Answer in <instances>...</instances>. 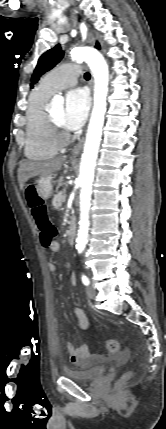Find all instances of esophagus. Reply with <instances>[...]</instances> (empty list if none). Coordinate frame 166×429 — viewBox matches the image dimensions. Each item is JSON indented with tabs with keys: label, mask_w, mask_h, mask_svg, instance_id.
Instances as JSON below:
<instances>
[{
	"label": "esophagus",
	"mask_w": 166,
	"mask_h": 429,
	"mask_svg": "<svg viewBox=\"0 0 166 429\" xmlns=\"http://www.w3.org/2000/svg\"><path fill=\"white\" fill-rule=\"evenodd\" d=\"M73 17L76 18L75 13H73ZM83 143H84V138H82L74 147L71 158H76L79 155V153L82 150Z\"/></svg>",
	"instance_id": "esophagus-1"
}]
</instances>
